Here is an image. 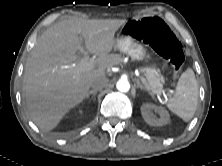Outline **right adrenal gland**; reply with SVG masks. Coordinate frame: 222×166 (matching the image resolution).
<instances>
[{
    "label": "right adrenal gland",
    "mask_w": 222,
    "mask_h": 166,
    "mask_svg": "<svg viewBox=\"0 0 222 166\" xmlns=\"http://www.w3.org/2000/svg\"><path fill=\"white\" fill-rule=\"evenodd\" d=\"M97 92L94 90L89 91L88 95L86 96V99L90 97V95H93L94 97L96 96Z\"/></svg>",
    "instance_id": "obj_1"
}]
</instances>
